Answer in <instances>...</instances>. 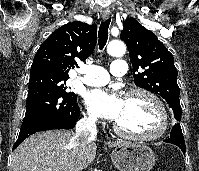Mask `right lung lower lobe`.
<instances>
[{
    "instance_id": "obj_1",
    "label": "right lung lower lobe",
    "mask_w": 199,
    "mask_h": 171,
    "mask_svg": "<svg viewBox=\"0 0 199 171\" xmlns=\"http://www.w3.org/2000/svg\"><path fill=\"white\" fill-rule=\"evenodd\" d=\"M80 116L77 99L64 96L53 87L39 85L29 88L26 113L15 149L28 136L52 129H72Z\"/></svg>"
}]
</instances>
